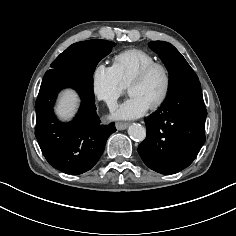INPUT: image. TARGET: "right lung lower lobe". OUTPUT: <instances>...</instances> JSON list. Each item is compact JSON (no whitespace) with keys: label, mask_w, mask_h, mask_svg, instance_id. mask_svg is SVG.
<instances>
[{"label":"right lung lower lobe","mask_w":236,"mask_h":236,"mask_svg":"<svg viewBox=\"0 0 236 236\" xmlns=\"http://www.w3.org/2000/svg\"><path fill=\"white\" fill-rule=\"evenodd\" d=\"M65 87L74 88L82 101L79 113L70 123L60 122L53 112L57 94ZM94 101L92 77L77 71L46 72L35 103V136L54 168L67 174H82L102 155L108 137L116 129L114 123L100 124Z\"/></svg>","instance_id":"right-lung-lower-lobe-1"}]
</instances>
